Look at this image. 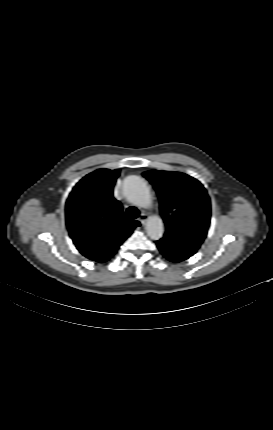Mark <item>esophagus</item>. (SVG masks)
Returning <instances> with one entry per match:
<instances>
[{"instance_id":"34e87169","label":"esophagus","mask_w":273,"mask_h":430,"mask_svg":"<svg viewBox=\"0 0 273 430\" xmlns=\"http://www.w3.org/2000/svg\"><path fill=\"white\" fill-rule=\"evenodd\" d=\"M147 219H148V216L145 213H142L139 217V221L141 222L142 225H145Z\"/></svg>"}]
</instances>
